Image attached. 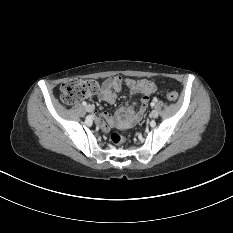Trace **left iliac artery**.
<instances>
[{"label": "left iliac artery", "instance_id": "left-iliac-artery-1", "mask_svg": "<svg viewBox=\"0 0 233 233\" xmlns=\"http://www.w3.org/2000/svg\"><path fill=\"white\" fill-rule=\"evenodd\" d=\"M154 105H155V103H154V102H152V103H151V106L153 107Z\"/></svg>", "mask_w": 233, "mask_h": 233}]
</instances>
